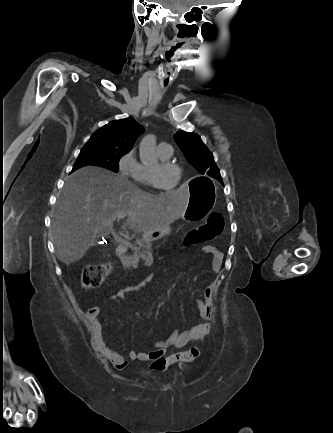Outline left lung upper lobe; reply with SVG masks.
I'll return each mask as SVG.
<instances>
[{
    "label": "left lung upper lobe",
    "mask_w": 333,
    "mask_h": 433,
    "mask_svg": "<svg viewBox=\"0 0 333 433\" xmlns=\"http://www.w3.org/2000/svg\"><path fill=\"white\" fill-rule=\"evenodd\" d=\"M174 139L188 162L201 174L209 175L219 181L222 180L212 153L198 135L180 131L174 135Z\"/></svg>",
    "instance_id": "obj_1"
}]
</instances>
